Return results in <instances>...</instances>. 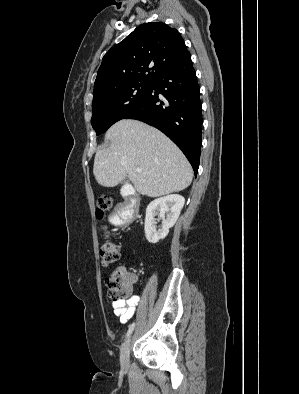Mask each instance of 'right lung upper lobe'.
Wrapping results in <instances>:
<instances>
[{
	"label": "right lung upper lobe",
	"mask_w": 299,
	"mask_h": 394,
	"mask_svg": "<svg viewBox=\"0 0 299 394\" xmlns=\"http://www.w3.org/2000/svg\"><path fill=\"white\" fill-rule=\"evenodd\" d=\"M187 54L176 29L163 22L142 24L104 55L94 94L129 83H152Z\"/></svg>",
	"instance_id": "right-lung-upper-lobe-1"
}]
</instances>
